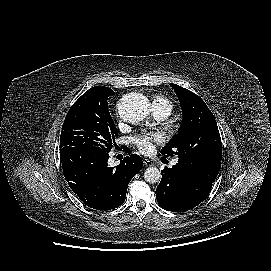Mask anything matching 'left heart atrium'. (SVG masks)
Masks as SVG:
<instances>
[{"label":"left heart atrium","mask_w":271,"mask_h":271,"mask_svg":"<svg viewBox=\"0 0 271 271\" xmlns=\"http://www.w3.org/2000/svg\"><path fill=\"white\" fill-rule=\"evenodd\" d=\"M161 141L158 133H143L135 138V144L139 151L143 154H150L154 150V143Z\"/></svg>","instance_id":"39dd6f15"}]
</instances>
